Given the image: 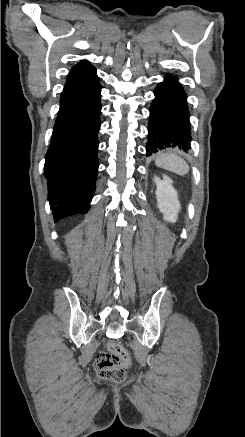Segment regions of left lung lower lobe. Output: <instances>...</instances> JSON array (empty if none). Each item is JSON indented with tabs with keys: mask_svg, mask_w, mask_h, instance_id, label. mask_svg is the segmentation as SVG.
<instances>
[{
	"mask_svg": "<svg viewBox=\"0 0 245 437\" xmlns=\"http://www.w3.org/2000/svg\"><path fill=\"white\" fill-rule=\"evenodd\" d=\"M150 107L147 156L167 148L190 149L187 95L178 78L166 75L154 91Z\"/></svg>",
	"mask_w": 245,
	"mask_h": 437,
	"instance_id": "obj_1",
	"label": "left lung lower lobe"
}]
</instances>
